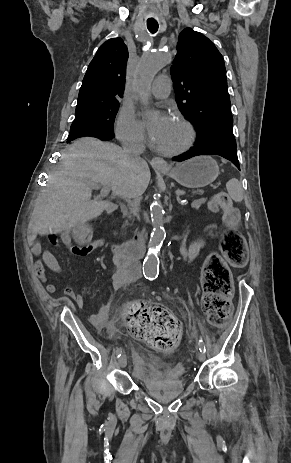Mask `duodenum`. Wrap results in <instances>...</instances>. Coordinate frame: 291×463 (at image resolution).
I'll return each mask as SVG.
<instances>
[{"label":"duodenum","instance_id":"1","mask_svg":"<svg viewBox=\"0 0 291 463\" xmlns=\"http://www.w3.org/2000/svg\"><path fill=\"white\" fill-rule=\"evenodd\" d=\"M105 209L110 215H115L117 213L118 206L115 204H107ZM143 241L144 234L140 232L135 234L133 238L127 241L113 244L112 251L114 254L128 255L137 260L140 259L143 255Z\"/></svg>","mask_w":291,"mask_h":463}]
</instances>
